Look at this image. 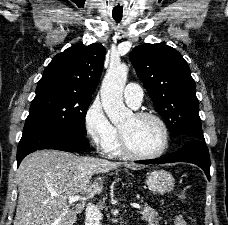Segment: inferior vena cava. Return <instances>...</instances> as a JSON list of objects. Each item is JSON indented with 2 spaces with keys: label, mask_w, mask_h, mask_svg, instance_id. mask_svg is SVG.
<instances>
[{
  "label": "inferior vena cava",
  "mask_w": 228,
  "mask_h": 225,
  "mask_svg": "<svg viewBox=\"0 0 228 225\" xmlns=\"http://www.w3.org/2000/svg\"><path fill=\"white\" fill-rule=\"evenodd\" d=\"M100 221H102L101 211H99L98 207H95V205H92V203H88V207H86V215H85L86 225H100Z\"/></svg>",
  "instance_id": "602c4592"
}]
</instances>
